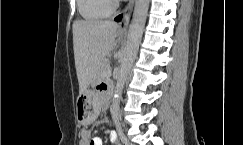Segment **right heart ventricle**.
<instances>
[{
    "instance_id": "obj_1",
    "label": "right heart ventricle",
    "mask_w": 243,
    "mask_h": 145,
    "mask_svg": "<svg viewBox=\"0 0 243 145\" xmlns=\"http://www.w3.org/2000/svg\"><path fill=\"white\" fill-rule=\"evenodd\" d=\"M81 17L87 21H98L109 17L113 8L109 0H77Z\"/></svg>"
}]
</instances>
